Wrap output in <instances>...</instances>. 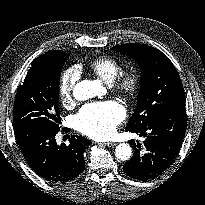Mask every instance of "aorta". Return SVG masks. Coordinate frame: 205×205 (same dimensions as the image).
<instances>
[{
  "mask_svg": "<svg viewBox=\"0 0 205 205\" xmlns=\"http://www.w3.org/2000/svg\"><path fill=\"white\" fill-rule=\"evenodd\" d=\"M103 91L99 80H83L73 88V97L78 101H85L95 97ZM116 157L121 161H127L132 156V148L127 143L119 144L115 149Z\"/></svg>",
  "mask_w": 205,
  "mask_h": 205,
  "instance_id": "obj_1",
  "label": "aorta"
}]
</instances>
